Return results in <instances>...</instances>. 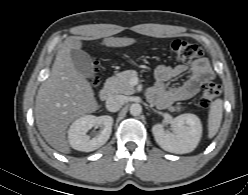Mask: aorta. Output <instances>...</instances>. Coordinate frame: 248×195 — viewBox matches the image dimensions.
Wrapping results in <instances>:
<instances>
[{
  "instance_id": "obj_1",
  "label": "aorta",
  "mask_w": 248,
  "mask_h": 195,
  "mask_svg": "<svg viewBox=\"0 0 248 195\" xmlns=\"http://www.w3.org/2000/svg\"><path fill=\"white\" fill-rule=\"evenodd\" d=\"M142 113V106L138 103H134L130 106V114L133 116H138Z\"/></svg>"
}]
</instances>
